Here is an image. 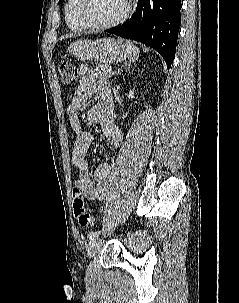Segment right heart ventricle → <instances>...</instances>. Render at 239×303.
I'll list each match as a JSON object with an SVG mask.
<instances>
[{
  "label": "right heart ventricle",
  "mask_w": 239,
  "mask_h": 303,
  "mask_svg": "<svg viewBox=\"0 0 239 303\" xmlns=\"http://www.w3.org/2000/svg\"><path fill=\"white\" fill-rule=\"evenodd\" d=\"M77 0H66L64 7L65 19L68 27L73 31H83L85 27L78 19L76 15Z\"/></svg>",
  "instance_id": "e07e8e85"
}]
</instances>
